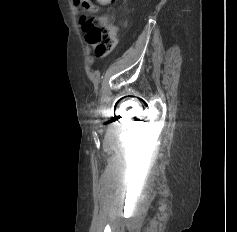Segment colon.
Instances as JSON below:
<instances>
[{"label":"colon","mask_w":237,"mask_h":232,"mask_svg":"<svg viewBox=\"0 0 237 232\" xmlns=\"http://www.w3.org/2000/svg\"><path fill=\"white\" fill-rule=\"evenodd\" d=\"M115 0H75L83 9L80 24L85 31L86 40L93 45L100 57L110 55L116 44L115 29L106 18L95 15L96 5H107Z\"/></svg>","instance_id":"obj_1"}]
</instances>
